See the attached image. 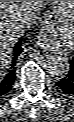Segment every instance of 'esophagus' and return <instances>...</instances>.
I'll use <instances>...</instances> for the list:
<instances>
[{
	"instance_id": "1",
	"label": "esophagus",
	"mask_w": 74,
	"mask_h": 122,
	"mask_svg": "<svg viewBox=\"0 0 74 122\" xmlns=\"http://www.w3.org/2000/svg\"><path fill=\"white\" fill-rule=\"evenodd\" d=\"M48 28H49L48 23H44L43 26H42V29L40 31V37H41L42 41H43L44 38L47 37Z\"/></svg>"
}]
</instances>
